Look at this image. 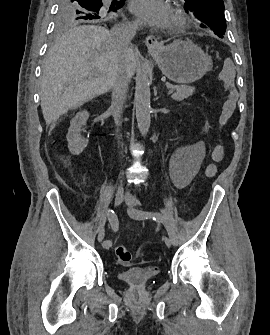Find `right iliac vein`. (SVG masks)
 Listing matches in <instances>:
<instances>
[{
  "mask_svg": "<svg viewBox=\"0 0 270 335\" xmlns=\"http://www.w3.org/2000/svg\"><path fill=\"white\" fill-rule=\"evenodd\" d=\"M125 197V194H124V189L122 187L118 188L116 194H115V206H119L123 199ZM104 236H105V230H101L98 234V237H97V240L98 242H101L103 239H104Z\"/></svg>",
  "mask_w": 270,
  "mask_h": 335,
  "instance_id": "obj_1",
  "label": "right iliac vein"
}]
</instances>
